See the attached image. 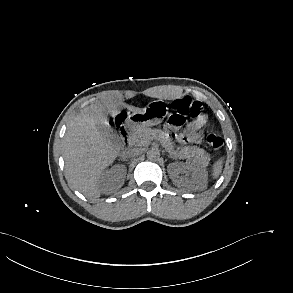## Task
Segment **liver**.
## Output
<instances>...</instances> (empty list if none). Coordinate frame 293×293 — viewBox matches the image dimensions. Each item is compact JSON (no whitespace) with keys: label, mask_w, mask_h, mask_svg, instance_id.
<instances>
[{"label":"liver","mask_w":293,"mask_h":293,"mask_svg":"<svg viewBox=\"0 0 293 293\" xmlns=\"http://www.w3.org/2000/svg\"><path fill=\"white\" fill-rule=\"evenodd\" d=\"M115 104H92L84 108L69 124L63 139L65 176L68 182L88 198L100 196L98 185L102 171L119 154L118 143H112L97 129L98 122L114 117ZM129 111L139 108L127 105Z\"/></svg>","instance_id":"6515ba94"}]
</instances>
